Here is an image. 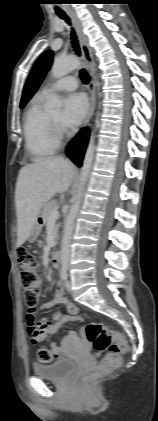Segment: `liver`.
Segmentation results:
<instances>
[{
	"label": "liver",
	"mask_w": 158,
	"mask_h": 421,
	"mask_svg": "<svg viewBox=\"0 0 158 421\" xmlns=\"http://www.w3.org/2000/svg\"><path fill=\"white\" fill-rule=\"evenodd\" d=\"M73 177V164L62 157L40 160L20 169L15 190L18 246L28 239L41 208L56 193L67 191Z\"/></svg>",
	"instance_id": "6515ba94"
}]
</instances>
